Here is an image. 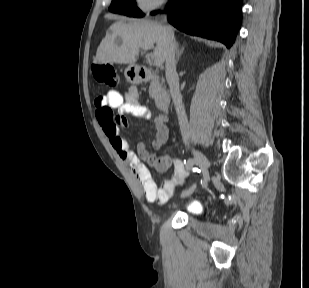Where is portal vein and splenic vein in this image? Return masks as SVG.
Masks as SVG:
<instances>
[{
	"instance_id": "1",
	"label": "portal vein and splenic vein",
	"mask_w": 309,
	"mask_h": 288,
	"mask_svg": "<svg viewBox=\"0 0 309 288\" xmlns=\"http://www.w3.org/2000/svg\"><path fill=\"white\" fill-rule=\"evenodd\" d=\"M151 48H153V46H150V47H142V49H144V50H148V49H151ZM162 63H163V61H162V59H160L159 57H156V58L154 59V65H155V66H161Z\"/></svg>"
}]
</instances>
